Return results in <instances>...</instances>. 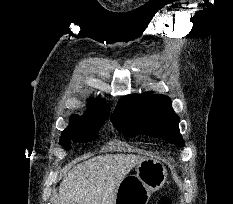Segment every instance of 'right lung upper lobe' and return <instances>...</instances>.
<instances>
[{
    "label": "right lung upper lobe",
    "mask_w": 233,
    "mask_h": 204,
    "mask_svg": "<svg viewBox=\"0 0 233 204\" xmlns=\"http://www.w3.org/2000/svg\"><path fill=\"white\" fill-rule=\"evenodd\" d=\"M88 101L90 105L85 115L81 116L80 118L78 115H72L70 118V125L78 123L82 120L99 118V117H106V118L108 117L110 109L105 102L98 99L95 100L89 99Z\"/></svg>",
    "instance_id": "cb5924a9"
}]
</instances>
